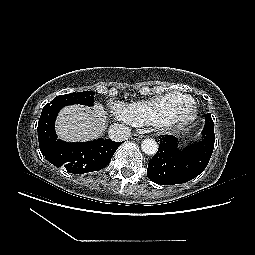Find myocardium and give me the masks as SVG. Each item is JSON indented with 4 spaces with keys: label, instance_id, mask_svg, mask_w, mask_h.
I'll return each mask as SVG.
<instances>
[{
    "label": "myocardium",
    "instance_id": "f54148a6",
    "mask_svg": "<svg viewBox=\"0 0 255 255\" xmlns=\"http://www.w3.org/2000/svg\"><path fill=\"white\" fill-rule=\"evenodd\" d=\"M196 114L197 107L193 100L188 103H172L151 125L163 131H178L188 126Z\"/></svg>",
    "mask_w": 255,
    "mask_h": 255
}]
</instances>
